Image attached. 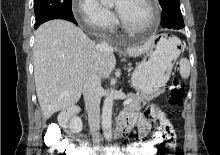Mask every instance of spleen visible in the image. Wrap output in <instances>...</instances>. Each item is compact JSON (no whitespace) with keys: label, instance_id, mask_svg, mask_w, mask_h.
Returning <instances> with one entry per match:
<instances>
[{"label":"spleen","instance_id":"3e777b00","mask_svg":"<svg viewBox=\"0 0 220 155\" xmlns=\"http://www.w3.org/2000/svg\"><path fill=\"white\" fill-rule=\"evenodd\" d=\"M180 75L183 79H187L190 76V63L187 58H182L179 62Z\"/></svg>","mask_w":220,"mask_h":155}]
</instances>
